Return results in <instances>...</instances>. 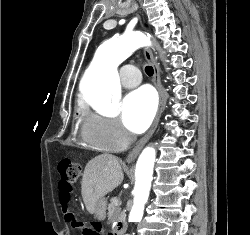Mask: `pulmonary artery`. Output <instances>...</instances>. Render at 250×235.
<instances>
[{"label": "pulmonary artery", "mask_w": 250, "mask_h": 235, "mask_svg": "<svg viewBox=\"0 0 250 235\" xmlns=\"http://www.w3.org/2000/svg\"><path fill=\"white\" fill-rule=\"evenodd\" d=\"M121 84L126 88H132L141 82L139 69L134 65H125L121 69Z\"/></svg>", "instance_id": "e3ab8cb5"}]
</instances>
